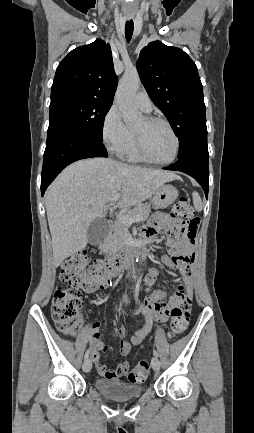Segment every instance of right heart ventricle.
Wrapping results in <instances>:
<instances>
[{
  "instance_id": "right-heart-ventricle-1",
  "label": "right heart ventricle",
  "mask_w": 254,
  "mask_h": 433,
  "mask_svg": "<svg viewBox=\"0 0 254 433\" xmlns=\"http://www.w3.org/2000/svg\"><path fill=\"white\" fill-rule=\"evenodd\" d=\"M120 156H122L124 159H126L129 162L138 163L143 161V159L140 157L137 151L134 135L131 143Z\"/></svg>"
}]
</instances>
